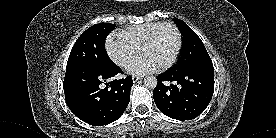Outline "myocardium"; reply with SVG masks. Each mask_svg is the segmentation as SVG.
I'll return each mask as SVG.
<instances>
[{"label": "myocardium", "mask_w": 276, "mask_h": 138, "mask_svg": "<svg viewBox=\"0 0 276 138\" xmlns=\"http://www.w3.org/2000/svg\"><path fill=\"white\" fill-rule=\"evenodd\" d=\"M165 28H171L174 30V32L176 34V38H177V46H176V50H175L172 58L167 63H165L164 65L161 66L162 70H166V69L170 68L172 65H174V63L177 61L179 54L181 52L183 39H182V33H181L180 29L178 28V26L171 22L162 23L150 34V36L144 41L143 45L141 46V51H142L143 49H145L146 47L151 45L157 39L160 32Z\"/></svg>", "instance_id": "obj_1"}]
</instances>
